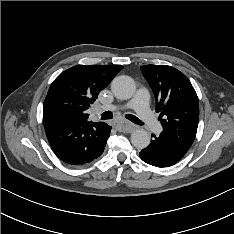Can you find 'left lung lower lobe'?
I'll use <instances>...</instances> for the list:
<instances>
[{
	"label": "left lung lower lobe",
	"mask_w": 234,
	"mask_h": 234,
	"mask_svg": "<svg viewBox=\"0 0 234 234\" xmlns=\"http://www.w3.org/2000/svg\"><path fill=\"white\" fill-rule=\"evenodd\" d=\"M153 137L151 143L139 153L140 158L152 166H172L181 160L187 152L164 133L158 137L153 135Z\"/></svg>",
	"instance_id": "1"
}]
</instances>
